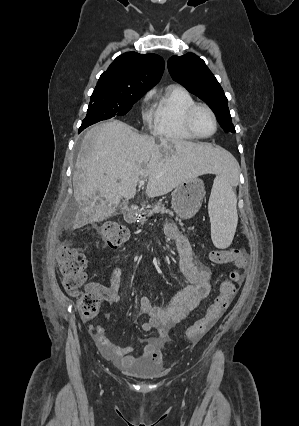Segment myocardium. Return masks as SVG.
I'll use <instances>...</instances> for the list:
<instances>
[{"mask_svg": "<svg viewBox=\"0 0 299 426\" xmlns=\"http://www.w3.org/2000/svg\"><path fill=\"white\" fill-rule=\"evenodd\" d=\"M200 109L206 110L210 114V116L212 117L213 122H214V131L211 134L206 135V136L200 135L195 130L194 125H193L194 115ZM184 126H185V129L187 130V132L190 135H192L194 138L208 139V138H211L212 136H214L217 133V131H218V119L216 117L215 112L212 110V108L210 106H208L207 104H204V103H195L192 106H190L187 109V111L185 112V115H184Z\"/></svg>", "mask_w": 299, "mask_h": 426, "instance_id": "obj_1", "label": "myocardium"}]
</instances>
